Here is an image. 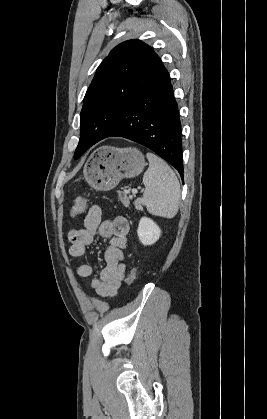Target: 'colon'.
<instances>
[{
    "label": "colon",
    "mask_w": 267,
    "mask_h": 419,
    "mask_svg": "<svg viewBox=\"0 0 267 419\" xmlns=\"http://www.w3.org/2000/svg\"><path fill=\"white\" fill-rule=\"evenodd\" d=\"M89 201L84 198H79L75 201L74 205L71 207L70 213L72 216L79 215L83 213L88 205ZM136 279V269L132 268L126 278L127 284L131 285Z\"/></svg>",
    "instance_id": "colon-1"
}]
</instances>
